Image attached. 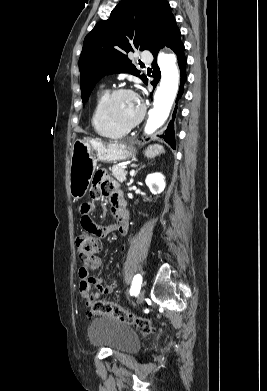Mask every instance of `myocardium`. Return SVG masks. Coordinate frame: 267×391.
I'll use <instances>...</instances> for the list:
<instances>
[{"mask_svg": "<svg viewBox=\"0 0 267 391\" xmlns=\"http://www.w3.org/2000/svg\"><path fill=\"white\" fill-rule=\"evenodd\" d=\"M126 93L132 94L138 99L139 105H140V112L135 120H133L132 122H130L128 124H123V123L119 122L113 114V103H114V100L119 95L126 94ZM145 111H146V107L143 104V102L140 100V98L137 96V94L134 91H132L131 89L123 88V87L116 88V89L112 90L111 92H109V94L105 100V103H104V114H105L107 120L117 129H120V130H123L126 132L135 128L138 124L141 123V121L143 120V118L145 116Z\"/></svg>", "mask_w": 267, "mask_h": 391, "instance_id": "f54148a6", "label": "myocardium"}]
</instances>
